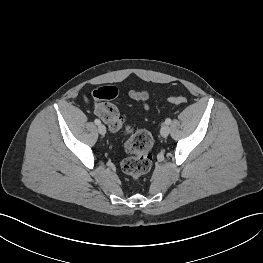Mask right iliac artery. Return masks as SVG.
Listing matches in <instances>:
<instances>
[{
	"label": "right iliac artery",
	"mask_w": 263,
	"mask_h": 263,
	"mask_svg": "<svg viewBox=\"0 0 263 263\" xmlns=\"http://www.w3.org/2000/svg\"><path fill=\"white\" fill-rule=\"evenodd\" d=\"M94 123H95L96 125H99V124H101V121H100L99 119H95V120H94Z\"/></svg>",
	"instance_id": "right-iliac-artery-1"
}]
</instances>
